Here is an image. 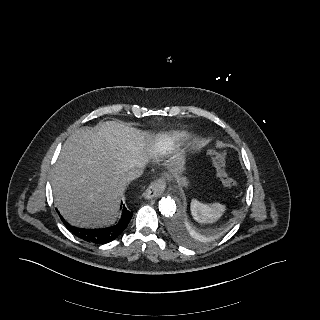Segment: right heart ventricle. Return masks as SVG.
<instances>
[{
	"mask_svg": "<svg viewBox=\"0 0 320 320\" xmlns=\"http://www.w3.org/2000/svg\"><path fill=\"white\" fill-rule=\"evenodd\" d=\"M181 135H175L173 137L170 138H166L164 141H162L161 143H159L156 146V151L159 153H164L167 150H169L174 144L178 143V141L180 140Z\"/></svg>",
	"mask_w": 320,
	"mask_h": 320,
	"instance_id": "right-heart-ventricle-1",
	"label": "right heart ventricle"
}]
</instances>
